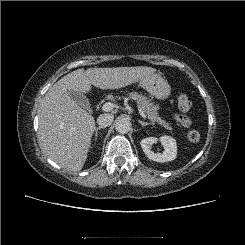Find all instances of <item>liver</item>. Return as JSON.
Masks as SVG:
<instances>
[{"label":"liver","instance_id":"6515ba94","mask_svg":"<svg viewBox=\"0 0 245 245\" xmlns=\"http://www.w3.org/2000/svg\"><path fill=\"white\" fill-rule=\"evenodd\" d=\"M146 66L77 69L58 80L46 93L39 109V142L61 168L80 171L88 156L95 119L68 91L88 93L92 85L119 89L154 74Z\"/></svg>","mask_w":245,"mask_h":245}]
</instances>
